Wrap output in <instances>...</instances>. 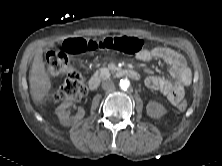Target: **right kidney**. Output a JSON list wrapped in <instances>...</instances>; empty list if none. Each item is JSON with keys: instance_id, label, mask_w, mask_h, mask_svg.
<instances>
[{"instance_id": "right-kidney-1", "label": "right kidney", "mask_w": 222, "mask_h": 166, "mask_svg": "<svg viewBox=\"0 0 222 166\" xmlns=\"http://www.w3.org/2000/svg\"><path fill=\"white\" fill-rule=\"evenodd\" d=\"M71 105H72V102H64L60 104L55 110V113L58 116L60 123L66 127L72 126L73 124L77 123L85 115V110L79 107L78 113L75 116H69L65 110Z\"/></svg>"}]
</instances>
